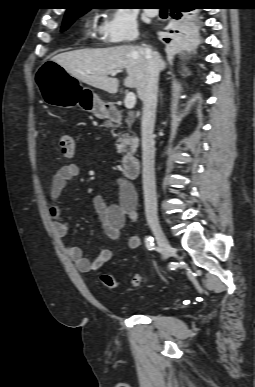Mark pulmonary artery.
I'll return each mask as SVG.
<instances>
[{
  "label": "pulmonary artery",
  "mask_w": 255,
  "mask_h": 387,
  "mask_svg": "<svg viewBox=\"0 0 255 387\" xmlns=\"http://www.w3.org/2000/svg\"><path fill=\"white\" fill-rule=\"evenodd\" d=\"M159 10L158 9H146V13L149 16H156L158 14Z\"/></svg>",
  "instance_id": "e3ab8cb5"
}]
</instances>
